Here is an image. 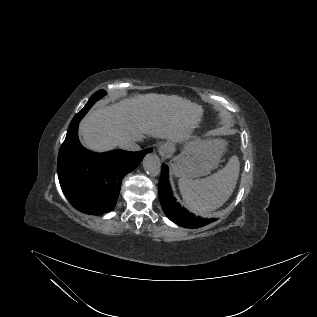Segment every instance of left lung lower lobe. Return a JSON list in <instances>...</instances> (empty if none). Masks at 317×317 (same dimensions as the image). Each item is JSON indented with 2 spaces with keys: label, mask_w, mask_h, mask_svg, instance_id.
<instances>
[{
  "label": "left lung lower lobe",
  "mask_w": 317,
  "mask_h": 317,
  "mask_svg": "<svg viewBox=\"0 0 317 317\" xmlns=\"http://www.w3.org/2000/svg\"><path fill=\"white\" fill-rule=\"evenodd\" d=\"M158 187L161 206L164 213L171 221L183 227L199 228L217 220L196 217L176 202L168 180V167L165 164H162Z\"/></svg>",
  "instance_id": "1"
}]
</instances>
